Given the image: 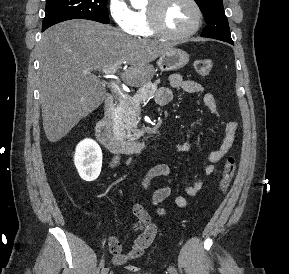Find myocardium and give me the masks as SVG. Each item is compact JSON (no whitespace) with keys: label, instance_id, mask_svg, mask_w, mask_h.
I'll return each instance as SVG.
<instances>
[{"label":"myocardium","instance_id":"obj_1","mask_svg":"<svg viewBox=\"0 0 289 274\" xmlns=\"http://www.w3.org/2000/svg\"><path fill=\"white\" fill-rule=\"evenodd\" d=\"M170 1L171 0H152L148 8L149 24L154 34L169 40H184L196 34L203 21V12L199 3L196 0H188L196 13L194 25L185 32L173 33L168 31L163 24L164 10Z\"/></svg>","mask_w":289,"mask_h":274}]
</instances>
